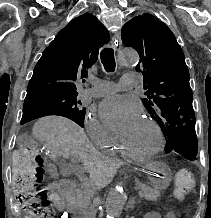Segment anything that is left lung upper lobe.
Segmentation results:
<instances>
[{"mask_svg":"<svg viewBox=\"0 0 211 218\" xmlns=\"http://www.w3.org/2000/svg\"><path fill=\"white\" fill-rule=\"evenodd\" d=\"M121 37L140 56L136 71L143 74L147 90L142 102L165 136V152L195 159L198 146L189 71L174 34L153 15L140 14L124 24Z\"/></svg>","mask_w":211,"mask_h":218,"instance_id":"left-lung-upper-lobe-1","label":"left lung upper lobe"}]
</instances>
